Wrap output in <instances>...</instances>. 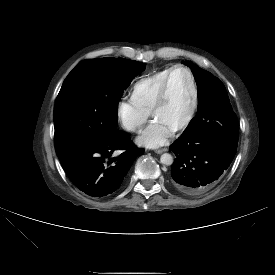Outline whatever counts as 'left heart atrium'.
Masks as SVG:
<instances>
[{
    "instance_id": "39dd6f15",
    "label": "left heart atrium",
    "mask_w": 275,
    "mask_h": 275,
    "mask_svg": "<svg viewBox=\"0 0 275 275\" xmlns=\"http://www.w3.org/2000/svg\"><path fill=\"white\" fill-rule=\"evenodd\" d=\"M174 129L163 120L155 118L137 137V143L148 148L165 145L171 138Z\"/></svg>"
}]
</instances>
